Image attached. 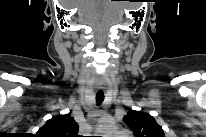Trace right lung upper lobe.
Returning <instances> with one entry per match:
<instances>
[{"mask_svg":"<svg viewBox=\"0 0 206 137\" xmlns=\"http://www.w3.org/2000/svg\"><path fill=\"white\" fill-rule=\"evenodd\" d=\"M79 125L70 114L58 115L49 119L37 135L39 137H77Z\"/></svg>","mask_w":206,"mask_h":137,"instance_id":"1","label":"right lung upper lobe"}]
</instances>
